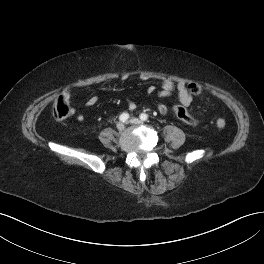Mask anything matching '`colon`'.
Segmentation results:
<instances>
[{
    "instance_id": "1",
    "label": "colon",
    "mask_w": 264,
    "mask_h": 264,
    "mask_svg": "<svg viewBox=\"0 0 264 264\" xmlns=\"http://www.w3.org/2000/svg\"><path fill=\"white\" fill-rule=\"evenodd\" d=\"M187 90L191 95H200L202 92L201 86L197 83L188 84ZM172 111L176 115V117L182 122L190 126L198 125V121L189 114V112L184 106L174 105L172 107ZM53 115L55 119L59 121L68 118V116L70 115V107H69L68 101L65 100L62 96L59 97L54 103ZM216 125L218 128L223 129L226 126V122L224 119L218 118L216 120Z\"/></svg>"
}]
</instances>
